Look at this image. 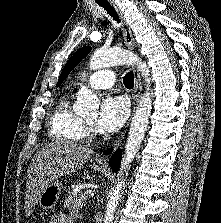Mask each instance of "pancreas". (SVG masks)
Returning a JSON list of instances; mask_svg holds the SVG:
<instances>
[{
  "mask_svg": "<svg viewBox=\"0 0 221 223\" xmlns=\"http://www.w3.org/2000/svg\"><path fill=\"white\" fill-rule=\"evenodd\" d=\"M76 186H73L71 190L68 192V196L66 197L64 207L68 209H76L82 207L85 203L86 195L85 193L75 192Z\"/></svg>",
  "mask_w": 221,
  "mask_h": 223,
  "instance_id": "obj_1",
  "label": "pancreas"
}]
</instances>
